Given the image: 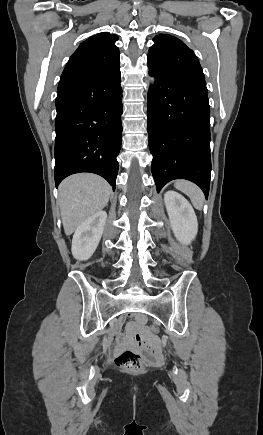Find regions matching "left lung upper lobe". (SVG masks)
Segmentation results:
<instances>
[{
  "instance_id": "5c2ea615",
  "label": "left lung upper lobe",
  "mask_w": 263,
  "mask_h": 435,
  "mask_svg": "<svg viewBox=\"0 0 263 435\" xmlns=\"http://www.w3.org/2000/svg\"><path fill=\"white\" fill-rule=\"evenodd\" d=\"M154 42L148 52V64L168 76L206 85L196 55L182 41L160 34Z\"/></svg>"
}]
</instances>
